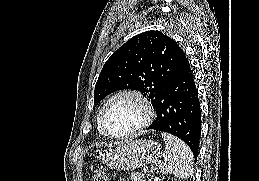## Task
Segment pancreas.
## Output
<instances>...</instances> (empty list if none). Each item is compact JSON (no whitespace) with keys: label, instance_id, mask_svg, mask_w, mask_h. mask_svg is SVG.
I'll return each mask as SVG.
<instances>
[{"label":"pancreas","instance_id":"obj_1","mask_svg":"<svg viewBox=\"0 0 259 181\" xmlns=\"http://www.w3.org/2000/svg\"><path fill=\"white\" fill-rule=\"evenodd\" d=\"M130 178H131V181H145L144 175L139 172L131 174Z\"/></svg>","mask_w":259,"mask_h":181}]
</instances>
